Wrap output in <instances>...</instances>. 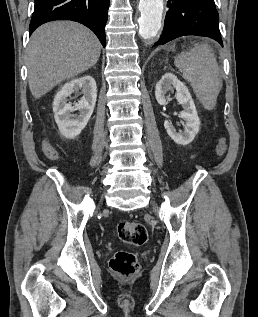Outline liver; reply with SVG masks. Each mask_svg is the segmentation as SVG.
Returning a JSON list of instances; mask_svg holds the SVG:
<instances>
[{
	"instance_id": "liver-1",
	"label": "liver",
	"mask_w": 258,
	"mask_h": 317,
	"mask_svg": "<svg viewBox=\"0 0 258 317\" xmlns=\"http://www.w3.org/2000/svg\"><path fill=\"white\" fill-rule=\"evenodd\" d=\"M100 48L94 32L78 22H46L36 28L26 50L28 82L34 98L88 70L97 62Z\"/></svg>"
}]
</instances>
